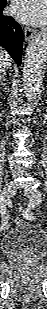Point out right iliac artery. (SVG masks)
<instances>
[{"label":"right iliac artery","instance_id":"obj_1","mask_svg":"<svg viewBox=\"0 0 47 309\" xmlns=\"http://www.w3.org/2000/svg\"><path fill=\"white\" fill-rule=\"evenodd\" d=\"M0 212L3 216V219H2V227L3 228L5 225H7L8 223V219H7V216L5 215L6 214V203L3 199V197H1V201H0Z\"/></svg>","mask_w":47,"mask_h":309}]
</instances>
